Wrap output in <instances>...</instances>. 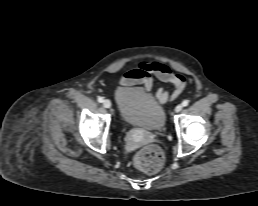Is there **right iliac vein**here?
<instances>
[{
	"instance_id": "obj_1",
	"label": "right iliac vein",
	"mask_w": 258,
	"mask_h": 206,
	"mask_svg": "<svg viewBox=\"0 0 258 206\" xmlns=\"http://www.w3.org/2000/svg\"><path fill=\"white\" fill-rule=\"evenodd\" d=\"M111 101L110 100H108V99H105L104 101H103V106L105 107V108H110L111 107Z\"/></svg>"
}]
</instances>
